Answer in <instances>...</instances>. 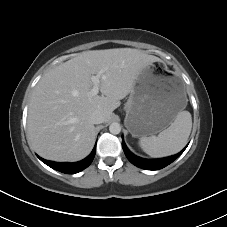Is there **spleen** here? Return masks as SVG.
Instances as JSON below:
<instances>
[{"label": "spleen", "mask_w": 227, "mask_h": 227, "mask_svg": "<svg viewBox=\"0 0 227 227\" xmlns=\"http://www.w3.org/2000/svg\"><path fill=\"white\" fill-rule=\"evenodd\" d=\"M192 128L190 112H179L171 125L157 136L142 137L139 145L151 157H166L178 153L187 143Z\"/></svg>", "instance_id": "obj_1"}]
</instances>
